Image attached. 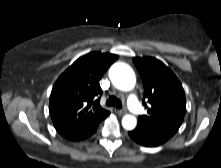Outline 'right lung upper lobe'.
Wrapping results in <instances>:
<instances>
[{
	"instance_id": "cb5924a9",
	"label": "right lung upper lobe",
	"mask_w": 221,
	"mask_h": 168,
	"mask_svg": "<svg viewBox=\"0 0 221 168\" xmlns=\"http://www.w3.org/2000/svg\"><path fill=\"white\" fill-rule=\"evenodd\" d=\"M118 58L92 52L80 57L55 82L49 103L53 124L61 135L99 124L110 112L100 106L99 80Z\"/></svg>"
}]
</instances>
